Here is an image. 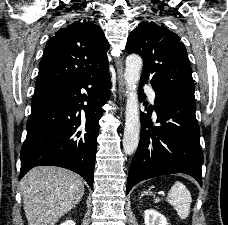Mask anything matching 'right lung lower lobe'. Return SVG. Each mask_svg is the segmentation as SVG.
<instances>
[{
  "instance_id": "right-lung-lower-lobe-1",
  "label": "right lung lower lobe",
  "mask_w": 228,
  "mask_h": 225,
  "mask_svg": "<svg viewBox=\"0 0 228 225\" xmlns=\"http://www.w3.org/2000/svg\"><path fill=\"white\" fill-rule=\"evenodd\" d=\"M110 86L106 68L77 83L34 94L19 179L35 166L53 165L78 173L93 188L98 121Z\"/></svg>"
}]
</instances>
